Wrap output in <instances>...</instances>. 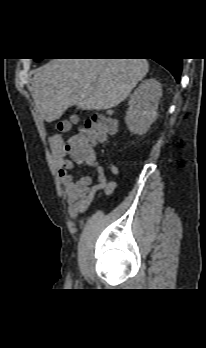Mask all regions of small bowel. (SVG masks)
Wrapping results in <instances>:
<instances>
[{
	"instance_id": "obj_1",
	"label": "small bowel",
	"mask_w": 206,
	"mask_h": 348,
	"mask_svg": "<svg viewBox=\"0 0 206 348\" xmlns=\"http://www.w3.org/2000/svg\"><path fill=\"white\" fill-rule=\"evenodd\" d=\"M62 138L55 136L52 139V152L54 161L57 165V172L60 180L63 183L64 192L66 195V202L68 205V212L71 219H76L79 215L86 213L93 198L97 195H109L117 186L115 180H109L106 170H109L113 175H118L119 170L113 164L101 163L96 155L91 151L90 158L84 161H72L66 158L62 152L60 145ZM74 162L78 164H86L96 170L97 177L93 181L89 175H82L78 179L70 174Z\"/></svg>"
}]
</instances>
